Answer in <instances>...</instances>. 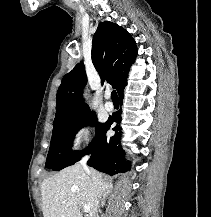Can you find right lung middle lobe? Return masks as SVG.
<instances>
[{"mask_svg": "<svg viewBox=\"0 0 211 217\" xmlns=\"http://www.w3.org/2000/svg\"><path fill=\"white\" fill-rule=\"evenodd\" d=\"M96 124V137L82 151H72L71 145L75 134L83 127ZM105 123H97L96 115L89 113L81 118L53 128L50 149L45 166L54 171L61 170L78 162L85 154L90 153L102 137Z\"/></svg>", "mask_w": 211, "mask_h": 217, "instance_id": "obj_1", "label": "right lung middle lobe"}]
</instances>
